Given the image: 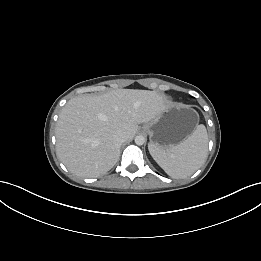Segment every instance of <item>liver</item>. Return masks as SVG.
<instances>
[{"label": "liver", "mask_w": 261, "mask_h": 261, "mask_svg": "<svg viewBox=\"0 0 261 261\" xmlns=\"http://www.w3.org/2000/svg\"><path fill=\"white\" fill-rule=\"evenodd\" d=\"M170 103L155 91L118 89L101 95L70 99L56 125L57 155L68 170L81 177H98L118 161L114 134L132 139L138 124L155 119Z\"/></svg>", "instance_id": "1"}]
</instances>
